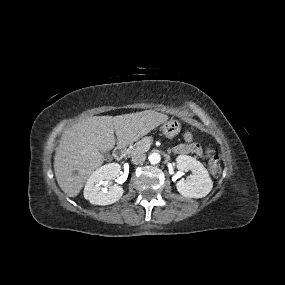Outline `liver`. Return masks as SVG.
Returning a JSON list of instances; mask_svg holds the SVG:
<instances>
[{
  "label": "liver",
  "mask_w": 285,
  "mask_h": 285,
  "mask_svg": "<svg viewBox=\"0 0 285 285\" xmlns=\"http://www.w3.org/2000/svg\"><path fill=\"white\" fill-rule=\"evenodd\" d=\"M168 116L153 110L112 116H93L64 131L54 157L58 185L69 197H76L94 170L104 162L100 152L117 144L129 145L162 124Z\"/></svg>",
  "instance_id": "obj_1"
}]
</instances>
